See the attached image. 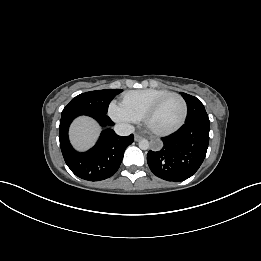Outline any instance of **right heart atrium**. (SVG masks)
Masks as SVG:
<instances>
[{
	"instance_id": "obj_1",
	"label": "right heart atrium",
	"mask_w": 261,
	"mask_h": 261,
	"mask_svg": "<svg viewBox=\"0 0 261 261\" xmlns=\"http://www.w3.org/2000/svg\"><path fill=\"white\" fill-rule=\"evenodd\" d=\"M109 115L110 117L120 123L130 124L136 120L121 106V104L111 103L109 106Z\"/></svg>"
}]
</instances>
